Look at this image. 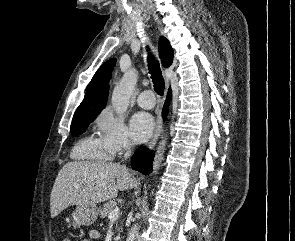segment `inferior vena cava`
<instances>
[{
    "mask_svg": "<svg viewBox=\"0 0 295 241\" xmlns=\"http://www.w3.org/2000/svg\"><path fill=\"white\" fill-rule=\"evenodd\" d=\"M131 146H132V144H131L130 141H126V142L124 143V148H125V150H126V152H125V154H124V158H125V159H127V158L130 157V154H131Z\"/></svg>",
    "mask_w": 295,
    "mask_h": 241,
    "instance_id": "1",
    "label": "inferior vena cava"
}]
</instances>
